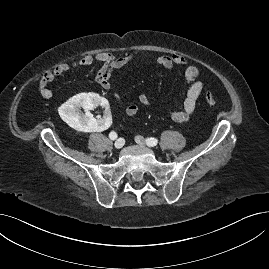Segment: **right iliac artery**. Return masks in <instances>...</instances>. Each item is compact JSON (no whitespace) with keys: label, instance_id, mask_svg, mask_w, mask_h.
I'll list each match as a JSON object with an SVG mask.
<instances>
[{"label":"right iliac artery","instance_id":"obj_1","mask_svg":"<svg viewBox=\"0 0 269 269\" xmlns=\"http://www.w3.org/2000/svg\"><path fill=\"white\" fill-rule=\"evenodd\" d=\"M109 138H110L111 140H115V139L117 138V133H116L115 131H111V132L109 133Z\"/></svg>","mask_w":269,"mask_h":269}]
</instances>
